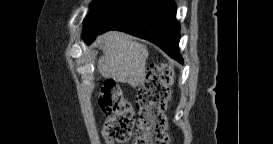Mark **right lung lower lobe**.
<instances>
[{"instance_id": "obj_1", "label": "right lung lower lobe", "mask_w": 273, "mask_h": 144, "mask_svg": "<svg viewBox=\"0 0 273 144\" xmlns=\"http://www.w3.org/2000/svg\"><path fill=\"white\" fill-rule=\"evenodd\" d=\"M108 30H120L149 40L183 64L174 0H116L83 39L89 44L98 34Z\"/></svg>"}]
</instances>
